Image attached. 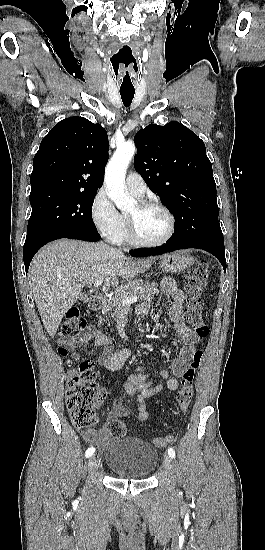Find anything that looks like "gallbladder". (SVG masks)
<instances>
[{"instance_id": "bac80fb5", "label": "gallbladder", "mask_w": 265, "mask_h": 550, "mask_svg": "<svg viewBox=\"0 0 265 550\" xmlns=\"http://www.w3.org/2000/svg\"><path fill=\"white\" fill-rule=\"evenodd\" d=\"M90 299H91V296L89 294H81L80 295V300L82 302H88Z\"/></svg>"}]
</instances>
